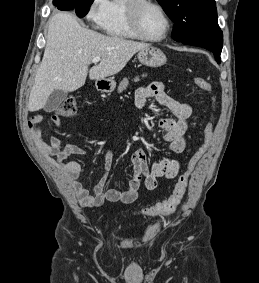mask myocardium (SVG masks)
<instances>
[{
  "label": "myocardium",
  "instance_id": "f54148a6",
  "mask_svg": "<svg viewBox=\"0 0 259 283\" xmlns=\"http://www.w3.org/2000/svg\"><path fill=\"white\" fill-rule=\"evenodd\" d=\"M146 7H154L158 9L164 16L167 29L165 34L160 38H152L146 35L142 29L141 25V14ZM127 13L130 26L133 32L141 39L149 42H162L169 36L172 29V20L167 10L163 5L154 0H129L127 4Z\"/></svg>",
  "mask_w": 259,
  "mask_h": 283
}]
</instances>
